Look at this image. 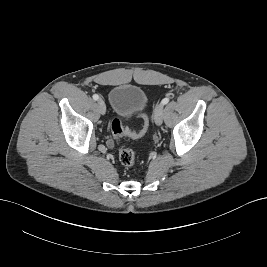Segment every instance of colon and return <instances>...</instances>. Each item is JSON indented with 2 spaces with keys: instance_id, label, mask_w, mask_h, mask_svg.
<instances>
[{
  "instance_id": "obj_1",
  "label": "colon",
  "mask_w": 267,
  "mask_h": 267,
  "mask_svg": "<svg viewBox=\"0 0 267 267\" xmlns=\"http://www.w3.org/2000/svg\"><path fill=\"white\" fill-rule=\"evenodd\" d=\"M141 118L143 119V125L139 130H131L129 128H125L118 118L112 119L110 123L112 135L116 139H120L123 136H128L131 138H140L144 136L148 129L149 121L146 114H141ZM119 160L121 164L126 167L133 166L135 163L134 151L129 147L121 146L119 148Z\"/></svg>"
}]
</instances>
